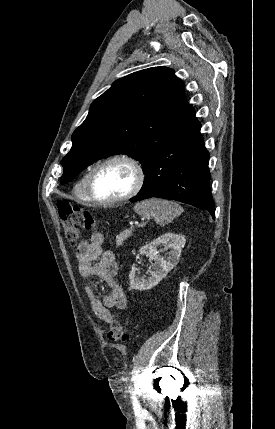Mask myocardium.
<instances>
[{"instance_id": "1", "label": "myocardium", "mask_w": 275, "mask_h": 429, "mask_svg": "<svg viewBox=\"0 0 275 429\" xmlns=\"http://www.w3.org/2000/svg\"><path fill=\"white\" fill-rule=\"evenodd\" d=\"M115 162L125 163L128 166H130V168L133 170L134 181H133L132 187L127 193H125L122 196H119L113 199H108V200L98 199L93 193V181H94L95 175L104 166ZM144 179H145L144 170L138 160L126 154H117L102 160L91 169L87 178L86 193L89 198V201L95 204L104 205V206L114 205V204L127 201L132 197H134L141 190L144 183Z\"/></svg>"}]
</instances>
